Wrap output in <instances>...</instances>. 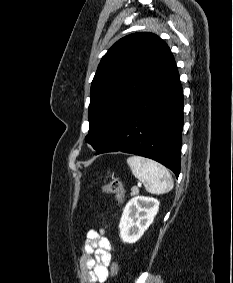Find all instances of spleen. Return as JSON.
Listing matches in <instances>:
<instances>
[{
	"instance_id": "3e777b00",
	"label": "spleen",
	"mask_w": 233,
	"mask_h": 283,
	"mask_svg": "<svg viewBox=\"0 0 233 283\" xmlns=\"http://www.w3.org/2000/svg\"><path fill=\"white\" fill-rule=\"evenodd\" d=\"M127 164L133 175L144 183L151 194H164L173 189L174 182L169 171L154 160L141 156H132L127 159Z\"/></svg>"
}]
</instances>
